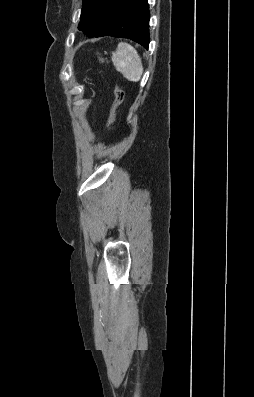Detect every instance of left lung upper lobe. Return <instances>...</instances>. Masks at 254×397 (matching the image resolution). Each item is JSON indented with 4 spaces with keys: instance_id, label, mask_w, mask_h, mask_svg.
<instances>
[{
    "instance_id": "5c2ea615",
    "label": "left lung upper lobe",
    "mask_w": 254,
    "mask_h": 397,
    "mask_svg": "<svg viewBox=\"0 0 254 397\" xmlns=\"http://www.w3.org/2000/svg\"><path fill=\"white\" fill-rule=\"evenodd\" d=\"M107 6V0H83L78 29L89 36L99 24Z\"/></svg>"
}]
</instances>
